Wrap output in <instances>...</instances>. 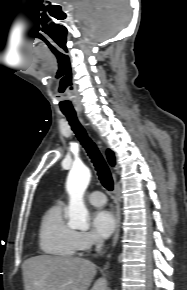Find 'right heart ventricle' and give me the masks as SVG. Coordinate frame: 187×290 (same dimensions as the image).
Wrapping results in <instances>:
<instances>
[{"instance_id": "right-heart-ventricle-1", "label": "right heart ventricle", "mask_w": 187, "mask_h": 290, "mask_svg": "<svg viewBox=\"0 0 187 290\" xmlns=\"http://www.w3.org/2000/svg\"><path fill=\"white\" fill-rule=\"evenodd\" d=\"M39 246L44 253L53 256L69 258L76 255V231L66 223L61 203L45 211L39 228Z\"/></svg>"}]
</instances>
